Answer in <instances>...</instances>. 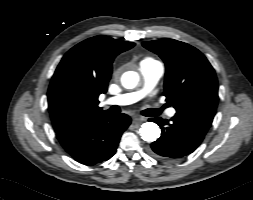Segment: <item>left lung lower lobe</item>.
I'll return each instance as SVG.
<instances>
[{
	"mask_svg": "<svg viewBox=\"0 0 253 200\" xmlns=\"http://www.w3.org/2000/svg\"><path fill=\"white\" fill-rule=\"evenodd\" d=\"M162 130L151 144L150 153L157 159L171 161L192 153L203 141L211 123L198 117L176 113L171 120L152 118Z\"/></svg>",
	"mask_w": 253,
	"mask_h": 200,
	"instance_id": "left-lung-lower-lobe-1",
	"label": "left lung lower lobe"
}]
</instances>
